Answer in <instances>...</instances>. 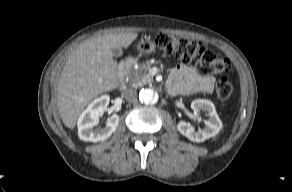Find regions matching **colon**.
I'll return each mask as SVG.
<instances>
[{
  "mask_svg": "<svg viewBox=\"0 0 292 192\" xmlns=\"http://www.w3.org/2000/svg\"><path fill=\"white\" fill-rule=\"evenodd\" d=\"M154 44L164 54L176 58L184 65L196 67L203 76L220 74L231 69L230 61L220 53L179 35L160 33L155 37ZM232 91L233 85L226 77L217 80L215 94L219 100H227Z\"/></svg>",
  "mask_w": 292,
  "mask_h": 192,
  "instance_id": "obj_1",
  "label": "colon"
}]
</instances>
